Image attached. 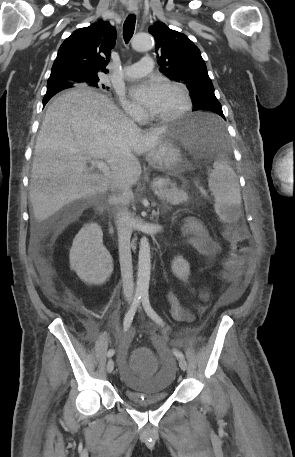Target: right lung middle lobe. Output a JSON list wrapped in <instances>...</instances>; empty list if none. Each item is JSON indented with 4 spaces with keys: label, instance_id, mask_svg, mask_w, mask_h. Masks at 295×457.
I'll use <instances>...</instances> for the list:
<instances>
[{
    "label": "right lung middle lobe",
    "instance_id": "dd1d6c3e",
    "mask_svg": "<svg viewBox=\"0 0 295 457\" xmlns=\"http://www.w3.org/2000/svg\"><path fill=\"white\" fill-rule=\"evenodd\" d=\"M98 82H99V78H98V77L90 78V79L88 80L87 85H91V86H94V87H99V86H101V87L104 88V89L106 88L104 84H99ZM71 87H73V86H71ZM57 92H58V91H52V94L55 95ZM48 100H49V98L47 99V101H48Z\"/></svg>",
    "mask_w": 295,
    "mask_h": 457
}]
</instances>
